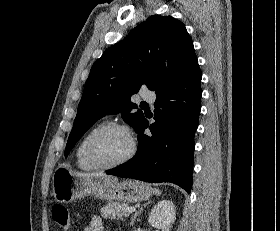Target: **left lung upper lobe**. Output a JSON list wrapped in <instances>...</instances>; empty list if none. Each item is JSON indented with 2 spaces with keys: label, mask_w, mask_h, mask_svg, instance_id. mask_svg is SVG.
Returning <instances> with one entry per match:
<instances>
[{
  "label": "left lung upper lobe",
  "mask_w": 280,
  "mask_h": 231,
  "mask_svg": "<svg viewBox=\"0 0 280 231\" xmlns=\"http://www.w3.org/2000/svg\"><path fill=\"white\" fill-rule=\"evenodd\" d=\"M198 67L193 43L184 24L171 16H150L93 64L65 149L107 113L121 112L136 128L143 112L130 97L142 85L158 92L189 76Z\"/></svg>",
  "instance_id": "5c2ea615"
}]
</instances>
